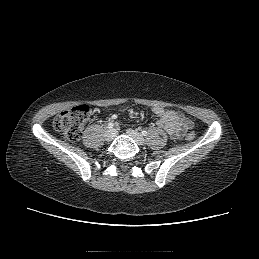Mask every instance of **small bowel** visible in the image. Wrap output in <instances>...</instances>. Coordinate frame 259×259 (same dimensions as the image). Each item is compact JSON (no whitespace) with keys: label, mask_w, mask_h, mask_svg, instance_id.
Instances as JSON below:
<instances>
[{"label":"small bowel","mask_w":259,"mask_h":259,"mask_svg":"<svg viewBox=\"0 0 259 259\" xmlns=\"http://www.w3.org/2000/svg\"><path fill=\"white\" fill-rule=\"evenodd\" d=\"M151 112L157 118V126L164 129L174 140L182 138L193 127L192 120L175 109L153 107Z\"/></svg>","instance_id":"obj_1"}]
</instances>
